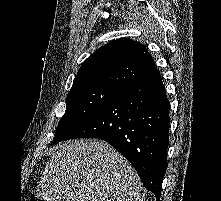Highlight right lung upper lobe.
I'll return each mask as SVG.
<instances>
[{
  "mask_svg": "<svg viewBox=\"0 0 221 201\" xmlns=\"http://www.w3.org/2000/svg\"><path fill=\"white\" fill-rule=\"evenodd\" d=\"M155 69L146 48L131 39H118L97 49L81 65L70 91L103 86L120 90Z\"/></svg>",
  "mask_w": 221,
  "mask_h": 201,
  "instance_id": "cb5924a9",
  "label": "right lung upper lobe"
}]
</instances>
